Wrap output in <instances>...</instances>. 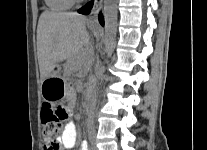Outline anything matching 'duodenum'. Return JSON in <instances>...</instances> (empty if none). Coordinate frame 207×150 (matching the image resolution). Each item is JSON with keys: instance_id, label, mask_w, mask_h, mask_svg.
<instances>
[{"instance_id": "1", "label": "duodenum", "mask_w": 207, "mask_h": 150, "mask_svg": "<svg viewBox=\"0 0 207 150\" xmlns=\"http://www.w3.org/2000/svg\"><path fill=\"white\" fill-rule=\"evenodd\" d=\"M93 89H94V83H90L89 87H88V90H87V96H88V99L91 98L92 96V93H93Z\"/></svg>"}]
</instances>
